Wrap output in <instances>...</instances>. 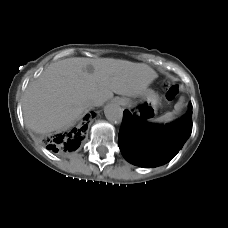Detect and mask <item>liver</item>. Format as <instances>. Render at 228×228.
<instances>
[{
	"label": "liver",
	"mask_w": 228,
	"mask_h": 228,
	"mask_svg": "<svg viewBox=\"0 0 228 228\" xmlns=\"http://www.w3.org/2000/svg\"><path fill=\"white\" fill-rule=\"evenodd\" d=\"M89 64L92 73L86 70ZM156 78L145 63L112 58L60 60L27 87L22 105L25 124L37 133L67 128L84 112L86 101L97 107L113 93L139 97Z\"/></svg>",
	"instance_id": "6515ba94"
}]
</instances>
